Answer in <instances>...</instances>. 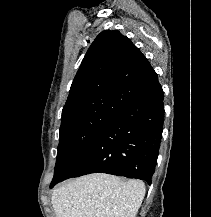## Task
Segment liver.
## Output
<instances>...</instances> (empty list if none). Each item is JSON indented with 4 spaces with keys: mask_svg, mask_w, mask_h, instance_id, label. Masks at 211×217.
Returning a JSON list of instances; mask_svg holds the SVG:
<instances>
[{
    "mask_svg": "<svg viewBox=\"0 0 211 217\" xmlns=\"http://www.w3.org/2000/svg\"><path fill=\"white\" fill-rule=\"evenodd\" d=\"M145 196L140 180L89 174L54 189L56 217H135Z\"/></svg>",
    "mask_w": 211,
    "mask_h": 217,
    "instance_id": "1",
    "label": "liver"
}]
</instances>
